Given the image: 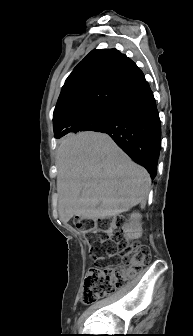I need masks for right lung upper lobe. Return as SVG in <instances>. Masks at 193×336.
I'll return each instance as SVG.
<instances>
[{
    "label": "right lung upper lobe",
    "mask_w": 193,
    "mask_h": 336,
    "mask_svg": "<svg viewBox=\"0 0 193 336\" xmlns=\"http://www.w3.org/2000/svg\"><path fill=\"white\" fill-rule=\"evenodd\" d=\"M138 72L136 64L116 49L91 51L62 88L54 110L55 137L76 133L72 128L78 117L111 108Z\"/></svg>",
    "instance_id": "1"
}]
</instances>
